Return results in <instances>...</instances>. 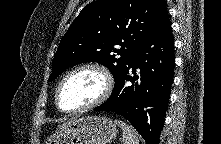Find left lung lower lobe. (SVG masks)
I'll use <instances>...</instances> for the list:
<instances>
[{
  "instance_id": "left-lung-lower-lobe-1",
  "label": "left lung lower lobe",
  "mask_w": 221,
  "mask_h": 144,
  "mask_svg": "<svg viewBox=\"0 0 221 144\" xmlns=\"http://www.w3.org/2000/svg\"><path fill=\"white\" fill-rule=\"evenodd\" d=\"M174 64V39L166 14L154 33L120 71L111 96L94 110L115 112L125 117L147 144H159Z\"/></svg>"
}]
</instances>
